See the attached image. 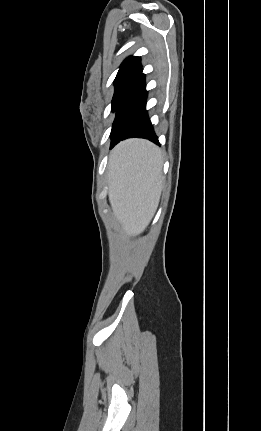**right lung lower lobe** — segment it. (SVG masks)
<instances>
[{"instance_id":"right-lung-lower-lobe-1","label":"right lung lower lobe","mask_w":261,"mask_h":431,"mask_svg":"<svg viewBox=\"0 0 261 431\" xmlns=\"http://www.w3.org/2000/svg\"><path fill=\"white\" fill-rule=\"evenodd\" d=\"M145 76L140 73L122 98L111 132V148L121 140L138 137L159 144L146 111Z\"/></svg>"}]
</instances>
